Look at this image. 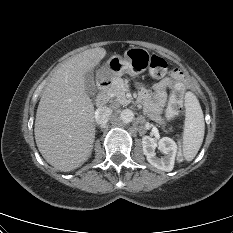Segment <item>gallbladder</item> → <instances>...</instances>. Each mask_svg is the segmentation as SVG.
I'll use <instances>...</instances> for the list:
<instances>
[{
	"instance_id": "bac80fb5",
	"label": "gallbladder",
	"mask_w": 233,
	"mask_h": 233,
	"mask_svg": "<svg viewBox=\"0 0 233 233\" xmlns=\"http://www.w3.org/2000/svg\"><path fill=\"white\" fill-rule=\"evenodd\" d=\"M85 90L87 95L91 98V100H94L96 98L97 88L95 86L93 77L90 73L86 74Z\"/></svg>"
}]
</instances>
